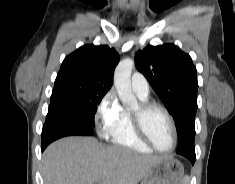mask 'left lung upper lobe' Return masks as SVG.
Masks as SVG:
<instances>
[{"label":"left lung upper lobe","mask_w":235,"mask_h":184,"mask_svg":"<svg viewBox=\"0 0 235 184\" xmlns=\"http://www.w3.org/2000/svg\"><path fill=\"white\" fill-rule=\"evenodd\" d=\"M135 63L175 120L176 153L194 155L198 82L191 57L171 43L148 45L136 53Z\"/></svg>","instance_id":"left-lung-upper-lobe-1"}]
</instances>
